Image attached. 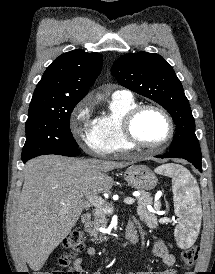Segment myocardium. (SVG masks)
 Here are the masks:
<instances>
[{"label": "myocardium", "mask_w": 215, "mask_h": 274, "mask_svg": "<svg viewBox=\"0 0 215 274\" xmlns=\"http://www.w3.org/2000/svg\"><path fill=\"white\" fill-rule=\"evenodd\" d=\"M146 110H154L159 112L167 121L168 124V134L160 142L156 144H147L138 139L135 134L134 124L138 116ZM122 133L126 142L133 148H142V149H159L167 145L173 138L175 133V125L171 115L161 106L155 104H137L130 110L126 112L123 116L122 123Z\"/></svg>", "instance_id": "1"}]
</instances>
